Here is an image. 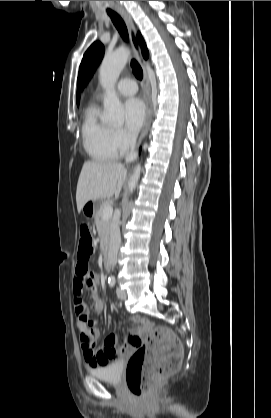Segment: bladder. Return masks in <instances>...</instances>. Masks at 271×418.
<instances>
[{"label": "bladder", "instance_id": "bladder-1", "mask_svg": "<svg viewBox=\"0 0 271 418\" xmlns=\"http://www.w3.org/2000/svg\"><path fill=\"white\" fill-rule=\"evenodd\" d=\"M123 363L121 361H112L100 367H94L89 370L90 374L102 381L118 384L121 381Z\"/></svg>", "mask_w": 271, "mask_h": 418}]
</instances>
